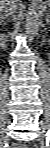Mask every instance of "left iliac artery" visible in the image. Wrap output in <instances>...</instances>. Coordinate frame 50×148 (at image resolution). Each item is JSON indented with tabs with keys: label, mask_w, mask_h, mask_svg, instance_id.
I'll return each instance as SVG.
<instances>
[{
	"label": "left iliac artery",
	"mask_w": 50,
	"mask_h": 148,
	"mask_svg": "<svg viewBox=\"0 0 50 148\" xmlns=\"http://www.w3.org/2000/svg\"><path fill=\"white\" fill-rule=\"evenodd\" d=\"M48 132H49V136H50V130H48Z\"/></svg>",
	"instance_id": "obj_1"
}]
</instances>
